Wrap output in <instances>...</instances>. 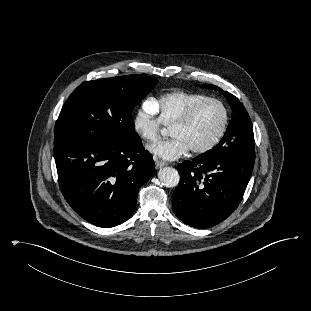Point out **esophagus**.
I'll use <instances>...</instances> for the list:
<instances>
[{
  "mask_svg": "<svg viewBox=\"0 0 311 311\" xmlns=\"http://www.w3.org/2000/svg\"><path fill=\"white\" fill-rule=\"evenodd\" d=\"M154 161H155V166H156L157 169L167 165L166 162H164L162 160H159L158 158H155Z\"/></svg>",
  "mask_w": 311,
  "mask_h": 311,
  "instance_id": "1",
  "label": "esophagus"
}]
</instances>
